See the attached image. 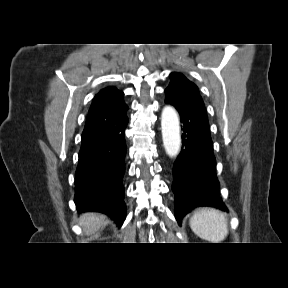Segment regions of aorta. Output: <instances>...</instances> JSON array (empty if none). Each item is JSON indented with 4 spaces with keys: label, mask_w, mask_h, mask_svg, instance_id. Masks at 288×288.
<instances>
[{
    "label": "aorta",
    "mask_w": 288,
    "mask_h": 288,
    "mask_svg": "<svg viewBox=\"0 0 288 288\" xmlns=\"http://www.w3.org/2000/svg\"><path fill=\"white\" fill-rule=\"evenodd\" d=\"M162 139L166 153L175 157L181 146L178 114L171 106H166L161 114Z\"/></svg>",
    "instance_id": "obj_1"
}]
</instances>
